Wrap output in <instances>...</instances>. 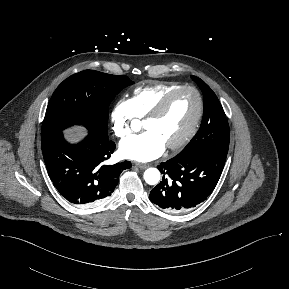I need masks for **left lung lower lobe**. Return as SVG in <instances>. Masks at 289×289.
<instances>
[{
    "instance_id": "1",
    "label": "left lung lower lobe",
    "mask_w": 289,
    "mask_h": 289,
    "mask_svg": "<svg viewBox=\"0 0 289 289\" xmlns=\"http://www.w3.org/2000/svg\"><path fill=\"white\" fill-rule=\"evenodd\" d=\"M227 152L203 150L183 159L161 163L162 181L154 187L149 199L160 208L179 213L198 206L214 190L221 176Z\"/></svg>"
}]
</instances>
